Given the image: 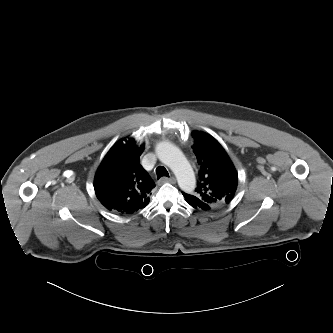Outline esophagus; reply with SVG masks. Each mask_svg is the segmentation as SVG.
Listing matches in <instances>:
<instances>
[{"label": "esophagus", "instance_id": "obj_1", "mask_svg": "<svg viewBox=\"0 0 333 333\" xmlns=\"http://www.w3.org/2000/svg\"><path fill=\"white\" fill-rule=\"evenodd\" d=\"M166 182H168V183H175L176 182V179L174 178V177H170V178H167V177H162V178H160V180H159V183L160 184H163V183H166Z\"/></svg>", "mask_w": 333, "mask_h": 333}]
</instances>
